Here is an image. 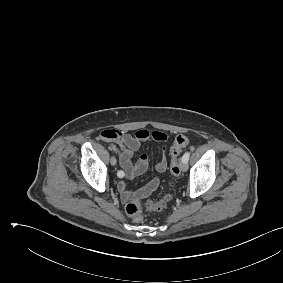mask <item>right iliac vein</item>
I'll return each instance as SVG.
<instances>
[{
	"label": "right iliac vein",
	"mask_w": 283,
	"mask_h": 283,
	"mask_svg": "<svg viewBox=\"0 0 283 283\" xmlns=\"http://www.w3.org/2000/svg\"><path fill=\"white\" fill-rule=\"evenodd\" d=\"M116 162H117L116 158L114 156H112L111 159H110L111 165H113V166L116 165Z\"/></svg>",
	"instance_id": "obj_1"
}]
</instances>
